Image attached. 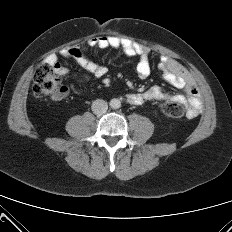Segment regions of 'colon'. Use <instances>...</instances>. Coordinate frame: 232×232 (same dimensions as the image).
Segmentation results:
<instances>
[{
	"label": "colon",
	"instance_id": "colon-1",
	"mask_svg": "<svg viewBox=\"0 0 232 232\" xmlns=\"http://www.w3.org/2000/svg\"><path fill=\"white\" fill-rule=\"evenodd\" d=\"M73 55L80 54V50L72 48ZM62 91V85L54 73L52 63L46 62L40 64L34 73L32 92L38 98L58 95ZM160 109L164 115L171 118H180L184 115L185 109L183 104L175 101H164L160 105Z\"/></svg>",
	"mask_w": 232,
	"mask_h": 232
}]
</instances>
